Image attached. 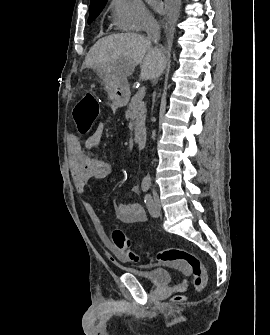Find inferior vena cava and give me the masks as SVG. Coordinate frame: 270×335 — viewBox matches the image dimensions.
I'll return each instance as SVG.
<instances>
[{"label":"inferior vena cava","mask_w":270,"mask_h":335,"mask_svg":"<svg viewBox=\"0 0 270 335\" xmlns=\"http://www.w3.org/2000/svg\"><path fill=\"white\" fill-rule=\"evenodd\" d=\"M147 40L158 44L160 40V26L155 22V20H149L148 26L146 28Z\"/></svg>","instance_id":"602c4592"}]
</instances>
